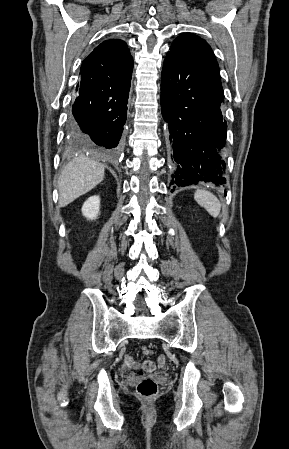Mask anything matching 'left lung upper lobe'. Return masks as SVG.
Instances as JSON below:
<instances>
[{"label":"left lung upper lobe","mask_w":289,"mask_h":449,"mask_svg":"<svg viewBox=\"0 0 289 449\" xmlns=\"http://www.w3.org/2000/svg\"><path fill=\"white\" fill-rule=\"evenodd\" d=\"M171 50L198 57L219 72V66L211 47L205 40L196 35L181 34L171 45Z\"/></svg>","instance_id":"obj_1"}]
</instances>
